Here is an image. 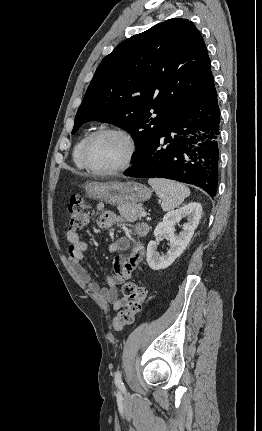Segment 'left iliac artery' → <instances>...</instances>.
I'll list each match as a JSON object with an SVG mask.
<instances>
[{
  "label": "left iliac artery",
  "instance_id": "left-iliac-artery-1",
  "mask_svg": "<svg viewBox=\"0 0 262 431\" xmlns=\"http://www.w3.org/2000/svg\"><path fill=\"white\" fill-rule=\"evenodd\" d=\"M115 384H116L118 387H121V388H123V387H124L123 382H122L121 372H120V371H117V372H116V374H115Z\"/></svg>",
  "mask_w": 262,
  "mask_h": 431
}]
</instances>
